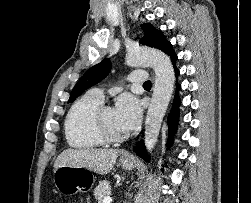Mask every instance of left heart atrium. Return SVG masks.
I'll list each match as a JSON object with an SVG mask.
<instances>
[{"label":"left heart atrium","instance_id":"left-heart-atrium-1","mask_svg":"<svg viewBox=\"0 0 251 203\" xmlns=\"http://www.w3.org/2000/svg\"><path fill=\"white\" fill-rule=\"evenodd\" d=\"M114 110L117 125L123 132H129L137 128L141 121L142 110L135 96L129 93L120 95Z\"/></svg>","mask_w":251,"mask_h":203}]
</instances>
